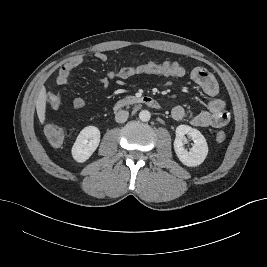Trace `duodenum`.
I'll use <instances>...</instances> for the list:
<instances>
[{
	"instance_id": "duodenum-1",
	"label": "duodenum",
	"mask_w": 267,
	"mask_h": 267,
	"mask_svg": "<svg viewBox=\"0 0 267 267\" xmlns=\"http://www.w3.org/2000/svg\"><path fill=\"white\" fill-rule=\"evenodd\" d=\"M138 105H145L150 108L159 109L161 107L160 103L151 96H135V97H128L120 99L116 102L114 108L116 110H120L127 106H138Z\"/></svg>"
}]
</instances>
